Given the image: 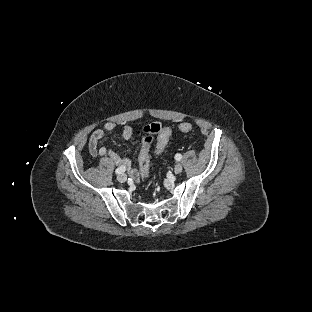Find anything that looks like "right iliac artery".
Wrapping results in <instances>:
<instances>
[{
  "instance_id": "right-iliac-artery-1",
  "label": "right iliac artery",
  "mask_w": 312,
  "mask_h": 312,
  "mask_svg": "<svg viewBox=\"0 0 312 312\" xmlns=\"http://www.w3.org/2000/svg\"><path fill=\"white\" fill-rule=\"evenodd\" d=\"M126 170V167L125 166H121V167H118L116 170H115V173L116 174H122L124 173Z\"/></svg>"
}]
</instances>
